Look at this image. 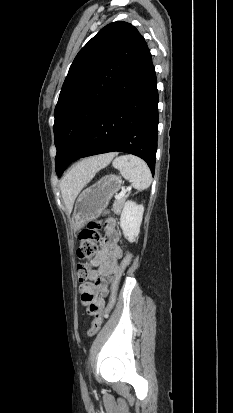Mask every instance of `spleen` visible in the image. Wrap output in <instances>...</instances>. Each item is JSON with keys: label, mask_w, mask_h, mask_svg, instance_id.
Segmentation results:
<instances>
[{"label": "spleen", "mask_w": 233, "mask_h": 413, "mask_svg": "<svg viewBox=\"0 0 233 413\" xmlns=\"http://www.w3.org/2000/svg\"><path fill=\"white\" fill-rule=\"evenodd\" d=\"M113 167L118 169L122 177L131 182L138 191L147 189L152 181L148 165L133 155H123L114 159Z\"/></svg>", "instance_id": "obj_1"}]
</instances>
